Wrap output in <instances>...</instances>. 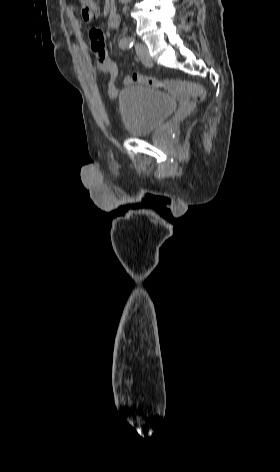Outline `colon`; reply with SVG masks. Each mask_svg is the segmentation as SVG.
Instances as JSON below:
<instances>
[{
  "label": "colon",
  "instance_id": "1",
  "mask_svg": "<svg viewBox=\"0 0 280 472\" xmlns=\"http://www.w3.org/2000/svg\"><path fill=\"white\" fill-rule=\"evenodd\" d=\"M81 17L85 22H90L96 18L98 7L94 0H78ZM131 81L142 85L165 89L168 91H183L191 95L195 101H203L206 90L203 85L193 82L179 80H159L139 73L131 74Z\"/></svg>",
  "mask_w": 280,
  "mask_h": 472
}]
</instances>
